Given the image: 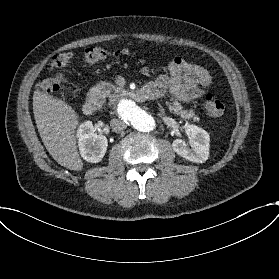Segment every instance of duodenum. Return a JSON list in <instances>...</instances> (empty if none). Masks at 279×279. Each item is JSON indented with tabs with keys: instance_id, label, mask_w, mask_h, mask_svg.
<instances>
[{
	"instance_id": "410a0bca",
	"label": "duodenum",
	"mask_w": 279,
	"mask_h": 279,
	"mask_svg": "<svg viewBox=\"0 0 279 279\" xmlns=\"http://www.w3.org/2000/svg\"><path fill=\"white\" fill-rule=\"evenodd\" d=\"M117 93L124 98L132 99L137 102H143L149 98L148 93L144 89L130 90L126 87H118ZM97 109V102L93 98L87 99L83 104V112L87 116H91Z\"/></svg>"
}]
</instances>
